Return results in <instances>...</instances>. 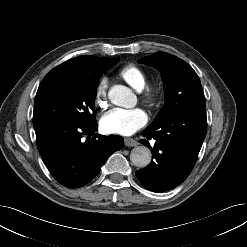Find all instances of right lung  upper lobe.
Returning <instances> with one entry per match:
<instances>
[{
  "instance_id": "1",
  "label": "right lung upper lobe",
  "mask_w": 247,
  "mask_h": 247,
  "mask_svg": "<svg viewBox=\"0 0 247 247\" xmlns=\"http://www.w3.org/2000/svg\"><path fill=\"white\" fill-rule=\"evenodd\" d=\"M109 58H99L91 55L72 58L52 69L46 76L68 75L74 77H96L102 65Z\"/></svg>"
}]
</instances>
